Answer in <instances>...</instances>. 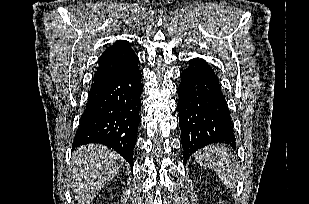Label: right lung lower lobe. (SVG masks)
I'll return each instance as SVG.
<instances>
[{"instance_id": "1", "label": "right lung lower lobe", "mask_w": 309, "mask_h": 204, "mask_svg": "<svg viewBox=\"0 0 309 204\" xmlns=\"http://www.w3.org/2000/svg\"><path fill=\"white\" fill-rule=\"evenodd\" d=\"M142 90L138 65L93 83L72 149L89 143L103 144L133 166Z\"/></svg>"}]
</instances>
